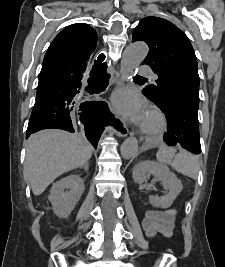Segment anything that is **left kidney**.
<instances>
[{
	"label": "left kidney",
	"instance_id": "5707ae66",
	"mask_svg": "<svg viewBox=\"0 0 225 267\" xmlns=\"http://www.w3.org/2000/svg\"><path fill=\"white\" fill-rule=\"evenodd\" d=\"M133 180L135 183L142 185L150 175H154L163 184L168 191L165 196H150V203L157 208H169L177 195L182 191L181 181L172 173L167 166L158 164L153 161H142L133 169Z\"/></svg>",
	"mask_w": 225,
	"mask_h": 267
}]
</instances>
